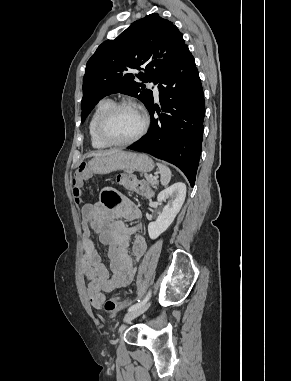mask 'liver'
<instances>
[{
	"mask_svg": "<svg viewBox=\"0 0 291 381\" xmlns=\"http://www.w3.org/2000/svg\"><path fill=\"white\" fill-rule=\"evenodd\" d=\"M117 152H120V150H109V151L93 152V153H90L88 155V157H91V156L97 157V156H103V155H110V154H114V153H117Z\"/></svg>",
	"mask_w": 291,
	"mask_h": 381,
	"instance_id": "1",
	"label": "liver"
}]
</instances>
